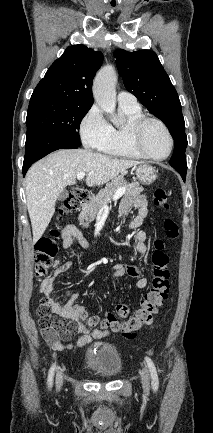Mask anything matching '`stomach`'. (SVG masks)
Segmentation results:
<instances>
[{"label": "stomach", "mask_w": 213, "mask_h": 433, "mask_svg": "<svg viewBox=\"0 0 213 433\" xmlns=\"http://www.w3.org/2000/svg\"><path fill=\"white\" fill-rule=\"evenodd\" d=\"M137 179L145 184H152L157 178V171L149 165L142 164L135 168Z\"/></svg>", "instance_id": "stomach-1"}]
</instances>
